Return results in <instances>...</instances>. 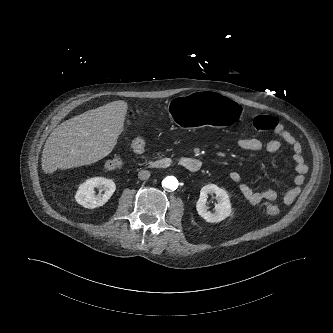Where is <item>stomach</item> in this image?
Listing matches in <instances>:
<instances>
[{"instance_id": "stomach-1", "label": "stomach", "mask_w": 333, "mask_h": 333, "mask_svg": "<svg viewBox=\"0 0 333 333\" xmlns=\"http://www.w3.org/2000/svg\"><path fill=\"white\" fill-rule=\"evenodd\" d=\"M174 120L187 128L216 125L222 129L237 126L243 117V108L234 97L210 91L194 92L174 98L169 104Z\"/></svg>"}]
</instances>
